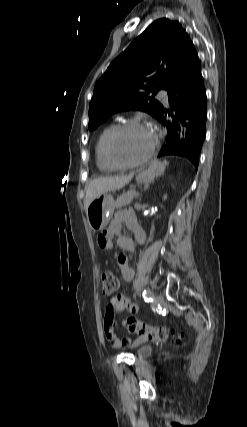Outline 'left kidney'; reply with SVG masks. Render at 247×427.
Segmentation results:
<instances>
[{
    "mask_svg": "<svg viewBox=\"0 0 247 427\" xmlns=\"http://www.w3.org/2000/svg\"><path fill=\"white\" fill-rule=\"evenodd\" d=\"M166 199H167V195L165 194L164 197H163V200H166Z\"/></svg>",
    "mask_w": 247,
    "mask_h": 427,
    "instance_id": "obj_1",
    "label": "left kidney"
}]
</instances>
